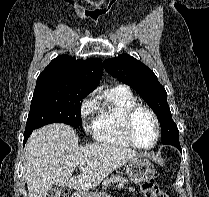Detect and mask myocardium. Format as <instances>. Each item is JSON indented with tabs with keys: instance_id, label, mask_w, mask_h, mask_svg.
<instances>
[{
	"instance_id": "1",
	"label": "myocardium",
	"mask_w": 209,
	"mask_h": 197,
	"mask_svg": "<svg viewBox=\"0 0 209 197\" xmlns=\"http://www.w3.org/2000/svg\"><path fill=\"white\" fill-rule=\"evenodd\" d=\"M139 111H146L147 113H149L154 121V124H155V138H154L153 143L148 146H142V145L138 144L134 138V135H133V121H134L135 115ZM124 130H125L126 137L132 146H134L138 149L150 150V149L154 148L159 141L160 121H159L157 114L155 113V111L153 109H151L150 107H148L146 105L136 103L133 106H131L125 113Z\"/></svg>"
}]
</instances>
